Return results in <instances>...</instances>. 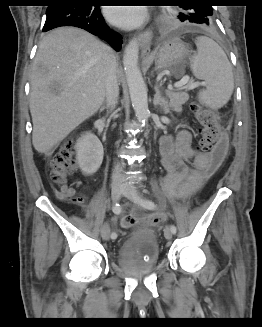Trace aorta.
Instances as JSON below:
<instances>
[{"mask_svg":"<svg viewBox=\"0 0 262 327\" xmlns=\"http://www.w3.org/2000/svg\"><path fill=\"white\" fill-rule=\"evenodd\" d=\"M138 55L139 41L132 39L125 47L123 65L133 109L138 121L145 124L148 121L150 111L146 85L138 67Z\"/></svg>","mask_w":262,"mask_h":327,"instance_id":"762f6f07","label":"aorta"}]
</instances>
